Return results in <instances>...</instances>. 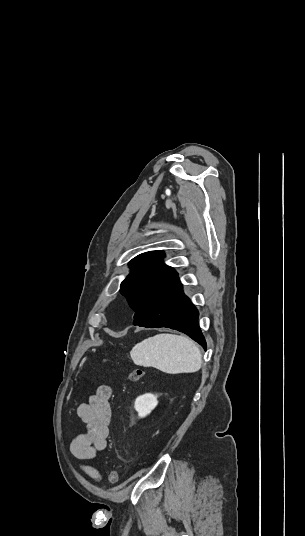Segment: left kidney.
<instances>
[{
	"mask_svg": "<svg viewBox=\"0 0 305 536\" xmlns=\"http://www.w3.org/2000/svg\"><path fill=\"white\" fill-rule=\"evenodd\" d=\"M157 404V396H154V394H144V396L136 398L134 408L138 412V416L144 418V416L150 414L151 410L156 408Z\"/></svg>",
	"mask_w": 305,
	"mask_h": 536,
	"instance_id": "obj_1",
	"label": "left kidney"
}]
</instances>
